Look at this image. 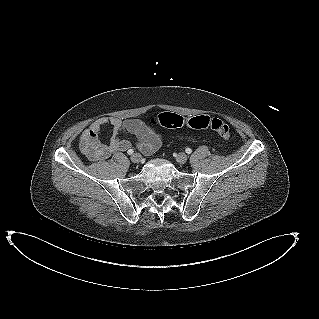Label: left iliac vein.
Returning a JSON list of instances; mask_svg holds the SVG:
<instances>
[{
  "instance_id": "left-iliac-vein-1",
  "label": "left iliac vein",
  "mask_w": 319,
  "mask_h": 319,
  "mask_svg": "<svg viewBox=\"0 0 319 319\" xmlns=\"http://www.w3.org/2000/svg\"><path fill=\"white\" fill-rule=\"evenodd\" d=\"M187 159H188V156L183 152L178 153V155L176 157V161L180 164L186 163Z\"/></svg>"
}]
</instances>
